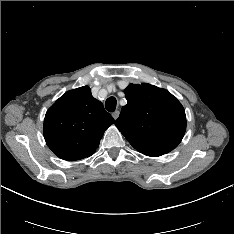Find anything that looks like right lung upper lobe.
I'll return each mask as SVG.
<instances>
[{"mask_svg": "<svg viewBox=\"0 0 234 234\" xmlns=\"http://www.w3.org/2000/svg\"><path fill=\"white\" fill-rule=\"evenodd\" d=\"M114 123L88 86L67 91L46 112L44 138L61 159L75 161L91 156L105 130Z\"/></svg>", "mask_w": 234, "mask_h": 234, "instance_id": "cb5924a9", "label": "right lung upper lobe"}]
</instances>
